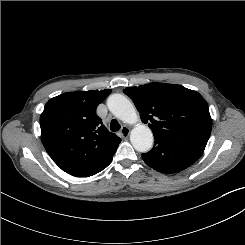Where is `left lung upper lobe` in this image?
Returning <instances> with one entry per match:
<instances>
[{"instance_id":"5c2ea615","label":"left lung upper lobe","mask_w":245,"mask_h":245,"mask_svg":"<svg viewBox=\"0 0 245 245\" xmlns=\"http://www.w3.org/2000/svg\"><path fill=\"white\" fill-rule=\"evenodd\" d=\"M123 92L131 97L154 137L172 140L204 151L212 120L205 99L180 85L150 83Z\"/></svg>"}]
</instances>
